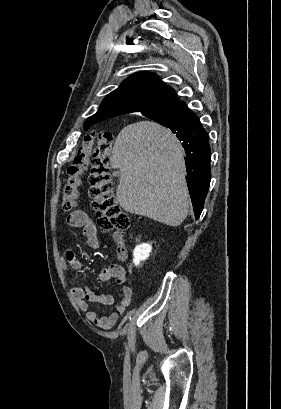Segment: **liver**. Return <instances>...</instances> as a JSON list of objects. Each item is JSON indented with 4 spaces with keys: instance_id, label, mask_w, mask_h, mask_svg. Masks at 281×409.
<instances>
[{
    "instance_id": "liver-1",
    "label": "liver",
    "mask_w": 281,
    "mask_h": 409,
    "mask_svg": "<svg viewBox=\"0 0 281 409\" xmlns=\"http://www.w3.org/2000/svg\"><path fill=\"white\" fill-rule=\"evenodd\" d=\"M119 168L117 200L127 213L179 227L189 209L182 146L171 130L141 120L119 132L110 158Z\"/></svg>"
}]
</instances>
